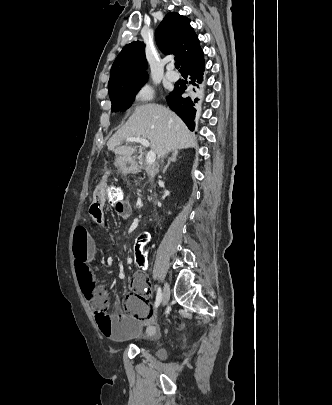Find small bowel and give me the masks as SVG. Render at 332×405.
<instances>
[{"label": "small bowel", "mask_w": 332, "mask_h": 405, "mask_svg": "<svg viewBox=\"0 0 332 405\" xmlns=\"http://www.w3.org/2000/svg\"><path fill=\"white\" fill-rule=\"evenodd\" d=\"M121 168L125 171L137 170V163L134 157H121ZM109 171H104L101 176L103 183L96 185L94 198L88 209V216L102 224L104 222V208L107 205L106 199L109 197L108 183L110 181ZM115 209L120 212L116 214L127 219L132 214V206L129 199L124 198L115 204ZM135 221L133 222V225ZM72 252L74 258V268L77 276L79 292H88L85 296L87 302H94L96 296L91 292H98V278L93 274L91 262L95 256V242L83 226H78L74 230ZM125 263L131 265L133 259L129 256L125 258ZM108 265H114V259L108 260ZM122 271V270H121ZM131 294L125 299L126 314L112 315V311H93L94 326H98L103 336L114 340L122 341L139 336L144 328V318L150 313L148 303V283L143 273H136L130 281ZM156 328L149 325L146 328V336L154 335Z\"/></svg>", "instance_id": "obj_1"}]
</instances>
